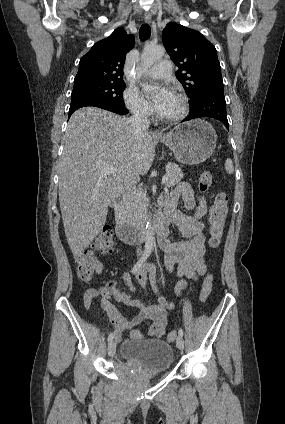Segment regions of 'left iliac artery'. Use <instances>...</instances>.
<instances>
[{"mask_svg":"<svg viewBox=\"0 0 285 424\" xmlns=\"http://www.w3.org/2000/svg\"><path fill=\"white\" fill-rule=\"evenodd\" d=\"M151 272H152V270H150V273ZM178 334H179V336L183 337V335H184L183 330L182 329H179Z\"/></svg>","mask_w":285,"mask_h":424,"instance_id":"obj_1","label":"left iliac artery"}]
</instances>
